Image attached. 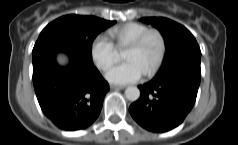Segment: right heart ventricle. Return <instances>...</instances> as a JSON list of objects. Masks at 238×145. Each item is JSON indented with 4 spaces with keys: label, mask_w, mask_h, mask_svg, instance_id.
<instances>
[{
    "label": "right heart ventricle",
    "mask_w": 238,
    "mask_h": 145,
    "mask_svg": "<svg viewBox=\"0 0 238 145\" xmlns=\"http://www.w3.org/2000/svg\"><path fill=\"white\" fill-rule=\"evenodd\" d=\"M150 28L142 23L129 22L109 31V35L115 40L119 47H127L131 42L137 39Z\"/></svg>",
    "instance_id": "obj_1"
}]
</instances>
